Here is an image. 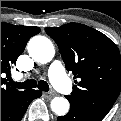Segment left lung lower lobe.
<instances>
[{
  "label": "left lung lower lobe",
  "mask_w": 121,
  "mask_h": 121,
  "mask_svg": "<svg viewBox=\"0 0 121 121\" xmlns=\"http://www.w3.org/2000/svg\"><path fill=\"white\" fill-rule=\"evenodd\" d=\"M103 118L70 104V111L65 116L58 117V121H101Z\"/></svg>",
  "instance_id": "1"
}]
</instances>
